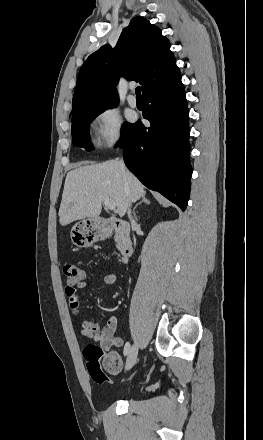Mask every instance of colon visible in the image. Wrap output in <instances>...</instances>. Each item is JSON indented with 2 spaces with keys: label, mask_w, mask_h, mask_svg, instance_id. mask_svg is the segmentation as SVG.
Returning <instances> with one entry per match:
<instances>
[{
  "label": "colon",
  "mask_w": 263,
  "mask_h": 440,
  "mask_svg": "<svg viewBox=\"0 0 263 440\" xmlns=\"http://www.w3.org/2000/svg\"><path fill=\"white\" fill-rule=\"evenodd\" d=\"M63 272L70 287L78 286L85 281V270L77 264H66L63 267ZM83 355L87 371L96 383L107 382L109 379L107 373L116 375L122 369V360L117 352L105 353L101 347L95 344L87 345L83 350Z\"/></svg>",
  "instance_id": "5ec220e1"
}]
</instances>
